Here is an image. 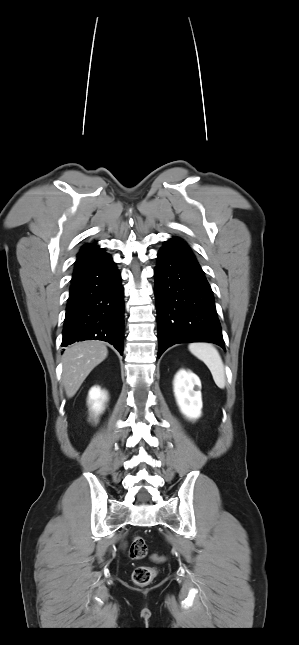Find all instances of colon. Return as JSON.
<instances>
[{
    "mask_svg": "<svg viewBox=\"0 0 299 645\" xmlns=\"http://www.w3.org/2000/svg\"><path fill=\"white\" fill-rule=\"evenodd\" d=\"M129 555L134 560L143 559L147 555V544L143 537L135 536L132 539ZM155 576V568L149 566H139L132 573V581L135 585L144 587L147 586Z\"/></svg>",
    "mask_w": 299,
    "mask_h": 645,
    "instance_id": "5ec220e1",
    "label": "colon"
}]
</instances>
